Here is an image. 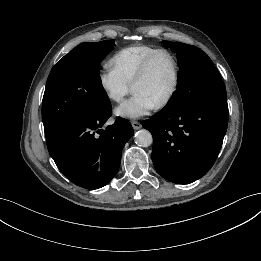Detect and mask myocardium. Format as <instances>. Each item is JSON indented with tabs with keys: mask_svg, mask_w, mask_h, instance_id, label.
Listing matches in <instances>:
<instances>
[{
	"mask_svg": "<svg viewBox=\"0 0 261 261\" xmlns=\"http://www.w3.org/2000/svg\"><path fill=\"white\" fill-rule=\"evenodd\" d=\"M159 54H166L171 58L172 63H173V68H174V75H173V82L170 87V90L168 91L166 96L160 102H158L156 104L155 107L157 109H161V108H164L165 106H167L171 102V100L173 99L174 95L177 92L178 85H179V79H180V67H179V62H178L176 55L171 50L166 49V48H159V49L153 51L142 62L137 74L135 75L134 79L131 82V88L133 89V87L138 82H140L141 80H143L146 77V75L148 74L149 68L151 66V63L153 62L154 58L156 56H158Z\"/></svg>",
	"mask_w": 261,
	"mask_h": 261,
	"instance_id": "f54148a6",
	"label": "myocardium"
}]
</instances>
